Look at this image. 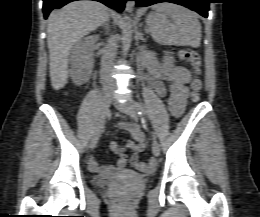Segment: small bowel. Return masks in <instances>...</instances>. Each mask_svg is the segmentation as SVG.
Segmentation results:
<instances>
[{
	"instance_id": "c3829d8e",
	"label": "small bowel",
	"mask_w": 260,
	"mask_h": 217,
	"mask_svg": "<svg viewBox=\"0 0 260 217\" xmlns=\"http://www.w3.org/2000/svg\"><path fill=\"white\" fill-rule=\"evenodd\" d=\"M146 66L149 71L148 79L151 87L160 97L166 99L170 112L174 116H179L187 93L190 72L183 67L164 71L155 56H150L146 60ZM164 79L169 82L168 88L163 83ZM122 126L130 132L132 140L128 141L125 146H118L116 142H111V150L119 155L117 165L100 166L94 157L89 159V169L100 177H108L114 173L126 171L128 164L134 165L138 161L137 153L145 147L144 134L137 126L129 123H123ZM126 150L132 151L133 154L128 156Z\"/></svg>"
}]
</instances>
